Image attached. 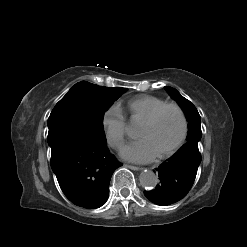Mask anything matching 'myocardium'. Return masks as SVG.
I'll use <instances>...</instances> for the list:
<instances>
[{
  "label": "myocardium",
  "instance_id": "1",
  "mask_svg": "<svg viewBox=\"0 0 247 247\" xmlns=\"http://www.w3.org/2000/svg\"><path fill=\"white\" fill-rule=\"evenodd\" d=\"M169 109L175 110L178 113L180 120H181V132L177 140L174 142V144L170 148H168L166 151L157 155L159 159H165L171 156L172 154H174L185 141L187 137V133H188V120H187L186 114L184 110L178 104L166 103L162 105L161 107H159L158 109H156L147 119H145L141 123V125H144V126H151L159 119V117L166 110H169Z\"/></svg>",
  "mask_w": 247,
  "mask_h": 247
}]
</instances>
